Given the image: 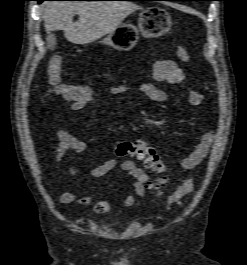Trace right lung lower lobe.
<instances>
[{
    "label": "right lung lower lobe",
    "instance_id": "right-lung-lower-lobe-1",
    "mask_svg": "<svg viewBox=\"0 0 247 265\" xmlns=\"http://www.w3.org/2000/svg\"><path fill=\"white\" fill-rule=\"evenodd\" d=\"M36 1H38L39 3H41L44 0H36ZM77 1H84V0H77Z\"/></svg>",
    "mask_w": 247,
    "mask_h": 265
}]
</instances>
